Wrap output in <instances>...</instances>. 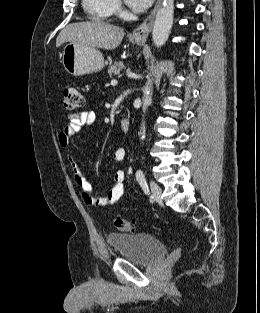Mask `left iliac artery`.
<instances>
[{
	"label": "left iliac artery",
	"mask_w": 260,
	"mask_h": 313,
	"mask_svg": "<svg viewBox=\"0 0 260 313\" xmlns=\"http://www.w3.org/2000/svg\"><path fill=\"white\" fill-rule=\"evenodd\" d=\"M136 179H137L138 183L140 184V186L142 187L144 193L149 194L150 192H149L147 180H146L145 175L141 169H139L136 172Z\"/></svg>",
	"instance_id": "1"
}]
</instances>
